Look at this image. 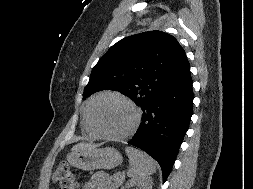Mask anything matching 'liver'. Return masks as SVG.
I'll list each match as a JSON object with an SVG mask.
<instances>
[{
	"mask_svg": "<svg viewBox=\"0 0 253 189\" xmlns=\"http://www.w3.org/2000/svg\"><path fill=\"white\" fill-rule=\"evenodd\" d=\"M96 147H97V145H95V144L81 142V143H78L75 146H73L72 151L76 152L79 150H84V149H88V148H96Z\"/></svg>",
	"mask_w": 253,
	"mask_h": 189,
	"instance_id": "liver-1",
	"label": "liver"
}]
</instances>
